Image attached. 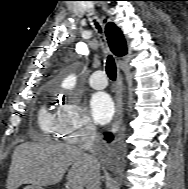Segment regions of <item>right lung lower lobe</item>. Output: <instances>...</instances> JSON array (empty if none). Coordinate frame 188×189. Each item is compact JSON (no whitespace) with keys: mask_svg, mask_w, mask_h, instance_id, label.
Instances as JSON below:
<instances>
[{"mask_svg":"<svg viewBox=\"0 0 188 189\" xmlns=\"http://www.w3.org/2000/svg\"><path fill=\"white\" fill-rule=\"evenodd\" d=\"M111 139H113L112 134L111 133H105V140L111 141Z\"/></svg>","mask_w":188,"mask_h":189,"instance_id":"1","label":"right lung lower lobe"}]
</instances>
